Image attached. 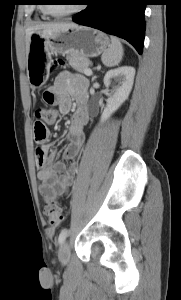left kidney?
<instances>
[{
	"instance_id": "obj_1",
	"label": "left kidney",
	"mask_w": 181,
	"mask_h": 300,
	"mask_svg": "<svg viewBox=\"0 0 181 300\" xmlns=\"http://www.w3.org/2000/svg\"><path fill=\"white\" fill-rule=\"evenodd\" d=\"M134 76L135 69L131 66L119 67L106 73L104 77V85L106 88L113 85V89L107 99L106 107L101 115V122L109 119V117L128 98L133 86Z\"/></svg>"
}]
</instances>
